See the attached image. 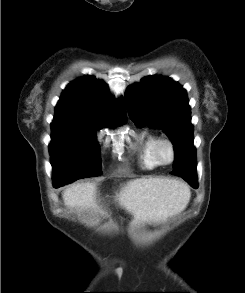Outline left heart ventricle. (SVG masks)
<instances>
[{
    "label": "left heart ventricle",
    "instance_id": "left-heart-ventricle-1",
    "mask_svg": "<svg viewBox=\"0 0 245 293\" xmlns=\"http://www.w3.org/2000/svg\"><path fill=\"white\" fill-rule=\"evenodd\" d=\"M162 156L164 157V159L168 160L170 158V151L167 147H164L162 149Z\"/></svg>",
    "mask_w": 245,
    "mask_h": 293
}]
</instances>
